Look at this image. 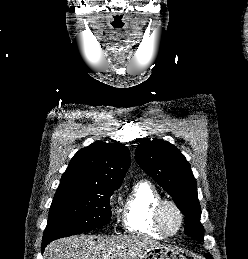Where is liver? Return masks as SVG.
Instances as JSON below:
<instances>
[{
    "label": "liver",
    "instance_id": "1",
    "mask_svg": "<svg viewBox=\"0 0 248 259\" xmlns=\"http://www.w3.org/2000/svg\"><path fill=\"white\" fill-rule=\"evenodd\" d=\"M162 246L147 237L124 235L94 240L91 235L57 239L45 249L44 259H141Z\"/></svg>",
    "mask_w": 248,
    "mask_h": 259
}]
</instances>
